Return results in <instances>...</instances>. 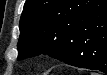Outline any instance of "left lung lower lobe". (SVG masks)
I'll return each mask as SVG.
<instances>
[{
    "mask_svg": "<svg viewBox=\"0 0 107 75\" xmlns=\"http://www.w3.org/2000/svg\"><path fill=\"white\" fill-rule=\"evenodd\" d=\"M93 1L98 6L79 22L73 45L52 56L69 65L107 73V0Z\"/></svg>",
    "mask_w": 107,
    "mask_h": 75,
    "instance_id": "obj_1",
    "label": "left lung lower lobe"
}]
</instances>
